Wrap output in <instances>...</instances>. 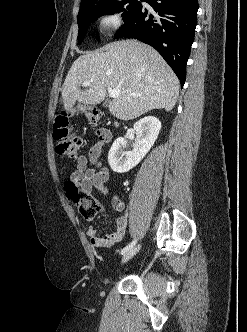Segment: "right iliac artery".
Wrapping results in <instances>:
<instances>
[{
	"instance_id": "obj_1",
	"label": "right iliac artery",
	"mask_w": 247,
	"mask_h": 332,
	"mask_svg": "<svg viewBox=\"0 0 247 332\" xmlns=\"http://www.w3.org/2000/svg\"><path fill=\"white\" fill-rule=\"evenodd\" d=\"M137 239L133 240L131 243H129L125 248H123L121 250V254H124L125 252H127L128 250H130L131 248L134 247V245L136 244Z\"/></svg>"
}]
</instances>
